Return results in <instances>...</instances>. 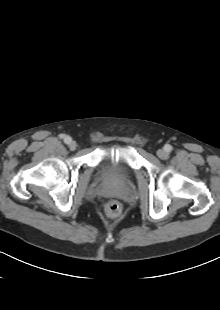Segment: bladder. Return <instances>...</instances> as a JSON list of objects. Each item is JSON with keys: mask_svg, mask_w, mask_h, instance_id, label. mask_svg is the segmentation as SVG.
Segmentation results:
<instances>
[{"mask_svg": "<svg viewBox=\"0 0 220 310\" xmlns=\"http://www.w3.org/2000/svg\"><path fill=\"white\" fill-rule=\"evenodd\" d=\"M101 176L107 181H122L128 179L129 172L120 164L115 167L106 165L101 171Z\"/></svg>", "mask_w": 220, "mask_h": 310, "instance_id": "obj_1", "label": "bladder"}]
</instances>
